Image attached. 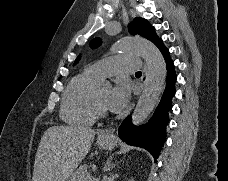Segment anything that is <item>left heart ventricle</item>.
Instances as JSON below:
<instances>
[{
  "label": "left heart ventricle",
  "instance_id": "left-heart-ventricle-1",
  "mask_svg": "<svg viewBox=\"0 0 228 181\" xmlns=\"http://www.w3.org/2000/svg\"><path fill=\"white\" fill-rule=\"evenodd\" d=\"M104 80H109L107 78H101L99 82H103ZM113 83L109 80V86L100 88L97 93H98V98L100 102L106 107L107 101L111 92V86Z\"/></svg>",
  "mask_w": 228,
  "mask_h": 181
}]
</instances>
